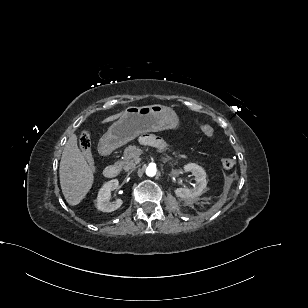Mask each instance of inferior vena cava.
I'll use <instances>...</instances> for the list:
<instances>
[{
	"label": "inferior vena cava",
	"instance_id": "1",
	"mask_svg": "<svg viewBox=\"0 0 308 308\" xmlns=\"http://www.w3.org/2000/svg\"><path fill=\"white\" fill-rule=\"evenodd\" d=\"M128 172H129V174H131V175H132V174H134V172H135V171H134V169H132V168H131V169H129V171H128Z\"/></svg>",
	"mask_w": 308,
	"mask_h": 308
}]
</instances>
